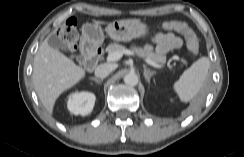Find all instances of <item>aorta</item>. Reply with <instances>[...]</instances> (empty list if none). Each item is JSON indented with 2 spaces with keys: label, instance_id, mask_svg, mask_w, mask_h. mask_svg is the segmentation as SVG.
Instances as JSON below:
<instances>
[{
  "label": "aorta",
  "instance_id": "1",
  "mask_svg": "<svg viewBox=\"0 0 244 157\" xmlns=\"http://www.w3.org/2000/svg\"><path fill=\"white\" fill-rule=\"evenodd\" d=\"M124 82L128 85L135 86L138 84V76L135 73H127L124 76Z\"/></svg>",
  "mask_w": 244,
  "mask_h": 157
}]
</instances>
